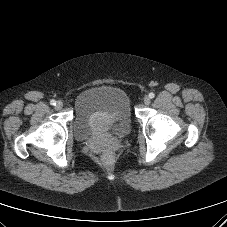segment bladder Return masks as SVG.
<instances>
[{
    "label": "bladder",
    "instance_id": "obj_1",
    "mask_svg": "<svg viewBox=\"0 0 227 227\" xmlns=\"http://www.w3.org/2000/svg\"><path fill=\"white\" fill-rule=\"evenodd\" d=\"M131 128L129 99L121 89L108 85L95 86L76 97L73 131L77 139L121 137L128 134Z\"/></svg>",
    "mask_w": 227,
    "mask_h": 227
}]
</instances>
